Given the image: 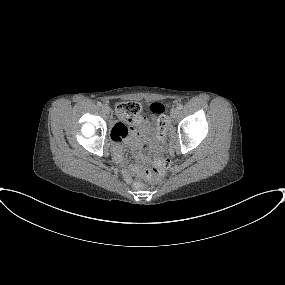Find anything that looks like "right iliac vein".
Wrapping results in <instances>:
<instances>
[{"label":"right iliac vein","instance_id":"63e3f726","mask_svg":"<svg viewBox=\"0 0 285 285\" xmlns=\"http://www.w3.org/2000/svg\"><path fill=\"white\" fill-rule=\"evenodd\" d=\"M102 111L105 113H109L110 112V107L107 104L102 105Z\"/></svg>","mask_w":285,"mask_h":285}]
</instances>
